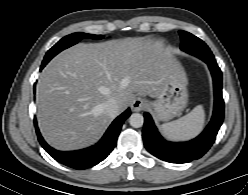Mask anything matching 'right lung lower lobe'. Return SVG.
Returning a JSON list of instances; mask_svg holds the SVG:
<instances>
[{
  "mask_svg": "<svg viewBox=\"0 0 248 195\" xmlns=\"http://www.w3.org/2000/svg\"><path fill=\"white\" fill-rule=\"evenodd\" d=\"M45 65L42 64L41 70ZM130 114V109H127L118 116L97 144L76 151L63 152L50 147L41 136L36 122L35 128L40 144L56 161L74 169H86L97 165L111 153L116 145L121 127Z\"/></svg>",
  "mask_w": 248,
  "mask_h": 195,
  "instance_id": "right-lung-lower-lobe-1",
  "label": "right lung lower lobe"
}]
</instances>
